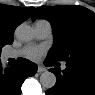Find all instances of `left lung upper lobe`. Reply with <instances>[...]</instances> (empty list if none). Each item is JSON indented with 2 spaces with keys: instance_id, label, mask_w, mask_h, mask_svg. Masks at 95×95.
<instances>
[{
  "instance_id": "obj_1",
  "label": "left lung upper lobe",
  "mask_w": 95,
  "mask_h": 95,
  "mask_svg": "<svg viewBox=\"0 0 95 95\" xmlns=\"http://www.w3.org/2000/svg\"><path fill=\"white\" fill-rule=\"evenodd\" d=\"M50 21L54 45L47 58L52 61L95 65V14L82 6L37 8L32 16Z\"/></svg>"
}]
</instances>
